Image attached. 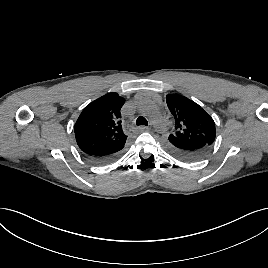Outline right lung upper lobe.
I'll use <instances>...</instances> for the list:
<instances>
[{"instance_id": "cb5924a9", "label": "right lung upper lobe", "mask_w": 268, "mask_h": 268, "mask_svg": "<svg viewBox=\"0 0 268 268\" xmlns=\"http://www.w3.org/2000/svg\"><path fill=\"white\" fill-rule=\"evenodd\" d=\"M125 99L108 93L87 105L75 123L79 148L86 154H104L123 148L127 139L120 110Z\"/></svg>"}]
</instances>
